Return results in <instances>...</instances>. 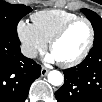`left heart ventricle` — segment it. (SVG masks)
<instances>
[{
    "label": "left heart ventricle",
    "mask_w": 102,
    "mask_h": 102,
    "mask_svg": "<svg viewBox=\"0 0 102 102\" xmlns=\"http://www.w3.org/2000/svg\"><path fill=\"white\" fill-rule=\"evenodd\" d=\"M88 39L89 29L87 25L84 22H78L57 42L51 52L59 62L71 61L82 53Z\"/></svg>",
    "instance_id": "obj_1"
}]
</instances>
